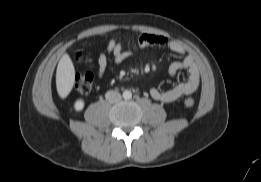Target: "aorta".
<instances>
[{
  "label": "aorta",
  "instance_id": "1",
  "mask_svg": "<svg viewBox=\"0 0 261 182\" xmlns=\"http://www.w3.org/2000/svg\"><path fill=\"white\" fill-rule=\"evenodd\" d=\"M123 98H124V99H131V98H132V93H131V91L125 90V91L123 92Z\"/></svg>",
  "mask_w": 261,
  "mask_h": 182
}]
</instances>
